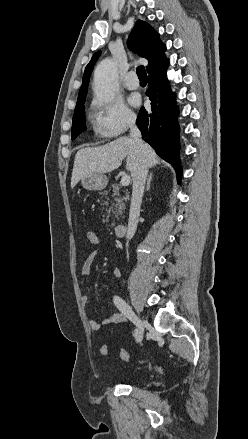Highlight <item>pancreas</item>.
Wrapping results in <instances>:
<instances>
[{
    "mask_svg": "<svg viewBox=\"0 0 248 439\" xmlns=\"http://www.w3.org/2000/svg\"><path fill=\"white\" fill-rule=\"evenodd\" d=\"M121 186L117 185V184H112L109 190L104 191L102 194L107 195L110 190L112 189L115 194L117 195V197L115 198V207L116 208H123L124 207V203L123 200H127L128 199V195H126L125 197H120L119 194V190H120ZM111 226H115V223H112Z\"/></svg>",
    "mask_w": 248,
    "mask_h": 439,
    "instance_id": "cf45deb5",
    "label": "pancreas"
}]
</instances>
